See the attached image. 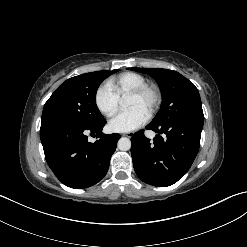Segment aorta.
I'll return each mask as SVG.
<instances>
[{"label": "aorta", "mask_w": 247, "mask_h": 247, "mask_svg": "<svg viewBox=\"0 0 247 247\" xmlns=\"http://www.w3.org/2000/svg\"><path fill=\"white\" fill-rule=\"evenodd\" d=\"M117 146L121 151H127L131 148V141L127 137H122L118 140Z\"/></svg>", "instance_id": "762f6f07"}]
</instances>
